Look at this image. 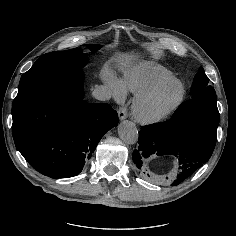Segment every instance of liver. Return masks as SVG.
<instances>
[{
	"label": "liver",
	"mask_w": 236,
	"mask_h": 236,
	"mask_svg": "<svg viewBox=\"0 0 236 236\" xmlns=\"http://www.w3.org/2000/svg\"><path fill=\"white\" fill-rule=\"evenodd\" d=\"M133 57L128 54H122L116 58L117 62L121 65L127 64Z\"/></svg>",
	"instance_id": "liver-1"
}]
</instances>
